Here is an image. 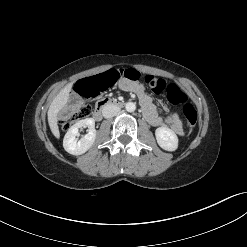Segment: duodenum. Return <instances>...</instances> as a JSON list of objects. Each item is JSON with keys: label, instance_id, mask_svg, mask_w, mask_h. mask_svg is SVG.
Wrapping results in <instances>:
<instances>
[{"label": "duodenum", "instance_id": "obj_1", "mask_svg": "<svg viewBox=\"0 0 247 247\" xmlns=\"http://www.w3.org/2000/svg\"><path fill=\"white\" fill-rule=\"evenodd\" d=\"M124 102L116 99H111V98H105L101 101L98 102L94 112H93V118L96 121H99L103 118V113L105 112L106 109L110 107H123Z\"/></svg>", "mask_w": 247, "mask_h": 247}]
</instances>
